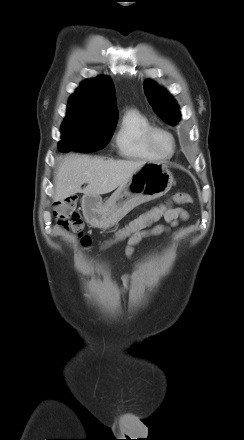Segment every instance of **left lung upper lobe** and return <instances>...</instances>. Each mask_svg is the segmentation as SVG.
<instances>
[{
  "label": "left lung upper lobe",
  "instance_id": "obj_1",
  "mask_svg": "<svg viewBox=\"0 0 244 440\" xmlns=\"http://www.w3.org/2000/svg\"><path fill=\"white\" fill-rule=\"evenodd\" d=\"M148 102L155 112L169 124L175 125L181 118L176 101L155 82L146 80L144 83Z\"/></svg>",
  "mask_w": 244,
  "mask_h": 440
}]
</instances>
